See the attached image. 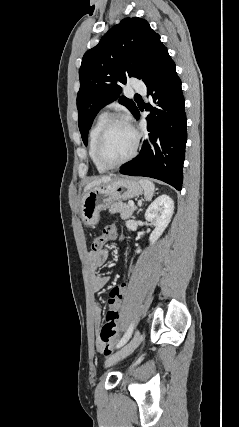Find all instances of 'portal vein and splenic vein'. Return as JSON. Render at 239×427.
<instances>
[{
    "label": "portal vein and splenic vein",
    "instance_id": "1",
    "mask_svg": "<svg viewBox=\"0 0 239 427\" xmlns=\"http://www.w3.org/2000/svg\"><path fill=\"white\" fill-rule=\"evenodd\" d=\"M128 205L132 208H135L134 202H128Z\"/></svg>",
    "mask_w": 239,
    "mask_h": 427
}]
</instances>
